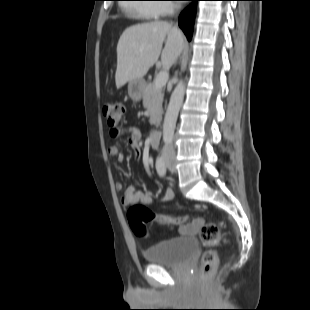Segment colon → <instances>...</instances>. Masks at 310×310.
I'll list each match as a JSON object with an SVG mask.
<instances>
[{"label": "colon", "mask_w": 310, "mask_h": 310, "mask_svg": "<svg viewBox=\"0 0 310 310\" xmlns=\"http://www.w3.org/2000/svg\"><path fill=\"white\" fill-rule=\"evenodd\" d=\"M124 112L125 108L121 103H106L103 106L104 117L111 128L119 126ZM127 219L131 229L139 237L146 236V224L148 222L186 224L190 220L186 216L155 213L145 205L138 203L130 206ZM192 226L194 230L198 229L200 240L206 247L202 255L201 271L203 276H208L214 271L218 261L216 248L220 242V230L217 224L203 219H197Z\"/></svg>", "instance_id": "5ec220e1"}]
</instances>
